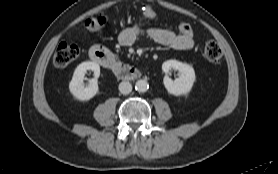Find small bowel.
<instances>
[{"instance_id":"1","label":"small bowel","mask_w":278,"mask_h":174,"mask_svg":"<svg viewBox=\"0 0 278 174\" xmlns=\"http://www.w3.org/2000/svg\"><path fill=\"white\" fill-rule=\"evenodd\" d=\"M141 36H146L152 41L174 50H190L194 46L193 36H184L168 29L145 28L138 22L123 29L119 33L118 40L121 45L130 46Z\"/></svg>"}]
</instances>
